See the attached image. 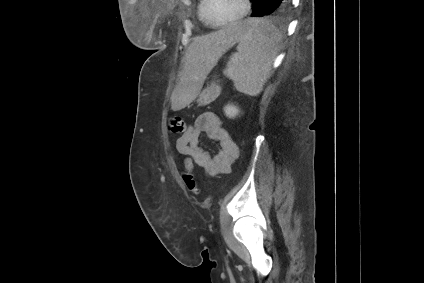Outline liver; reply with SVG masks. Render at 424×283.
Masks as SVG:
<instances>
[{
  "mask_svg": "<svg viewBox=\"0 0 424 283\" xmlns=\"http://www.w3.org/2000/svg\"><path fill=\"white\" fill-rule=\"evenodd\" d=\"M246 24L233 23L208 35L196 37L188 46L180 82L171 95V108L178 111L189 105L222 54L246 32Z\"/></svg>",
  "mask_w": 424,
  "mask_h": 283,
  "instance_id": "1",
  "label": "liver"
}]
</instances>
